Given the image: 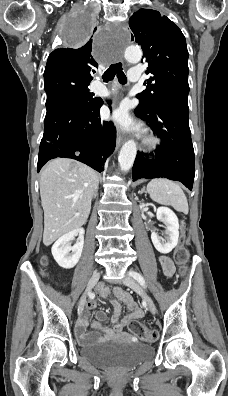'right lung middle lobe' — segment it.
<instances>
[{
	"label": "right lung middle lobe",
	"mask_w": 228,
	"mask_h": 396,
	"mask_svg": "<svg viewBox=\"0 0 228 396\" xmlns=\"http://www.w3.org/2000/svg\"><path fill=\"white\" fill-rule=\"evenodd\" d=\"M74 20L76 24H81L80 33L74 42L82 43L89 38L94 25L82 17H76ZM89 83L90 80L72 74L44 76L47 114L65 104L93 102L94 99L88 89Z\"/></svg>",
	"instance_id": "right-lung-middle-lobe-1"
}]
</instances>
